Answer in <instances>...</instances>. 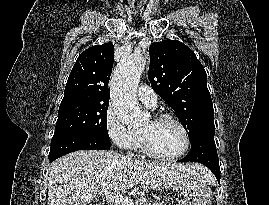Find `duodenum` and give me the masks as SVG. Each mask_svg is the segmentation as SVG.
Segmentation results:
<instances>
[{"label":"duodenum","instance_id":"obj_1","mask_svg":"<svg viewBox=\"0 0 269 205\" xmlns=\"http://www.w3.org/2000/svg\"><path fill=\"white\" fill-rule=\"evenodd\" d=\"M100 205H110L109 203H102V204H100Z\"/></svg>","mask_w":269,"mask_h":205}]
</instances>
